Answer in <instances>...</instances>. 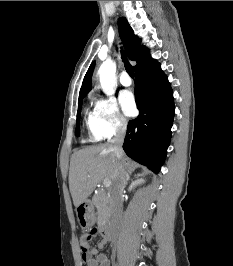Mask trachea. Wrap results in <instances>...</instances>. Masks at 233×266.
I'll use <instances>...</instances> for the list:
<instances>
[{"mask_svg":"<svg viewBox=\"0 0 233 266\" xmlns=\"http://www.w3.org/2000/svg\"><path fill=\"white\" fill-rule=\"evenodd\" d=\"M122 59H123V62L125 64V69L127 71V73L131 76V77H134V70H133V67L132 65L128 62L126 56L124 53H122Z\"/></svg>","mask_w":233,"mask_h":266,"instance_id":"obj_1","label":"trachea"}]
</instances>
